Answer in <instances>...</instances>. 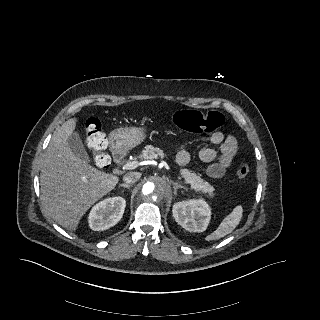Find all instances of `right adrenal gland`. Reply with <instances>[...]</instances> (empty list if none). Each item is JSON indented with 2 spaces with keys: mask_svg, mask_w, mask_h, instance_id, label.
Listing matches in <instances>:
<instances>
[{
  "mask_svg": "<svg viewBox=\"0 0 320 320\" xmlns=\"http://www.w3.org/2000/svg\"><path fill=\"white\" fill-rule=\"evenodd\" d=\"M133 185L132 184H120V187L123 188H131Z\"/></svg>",
  "mask_w": 320,
  "mask_h": 320,
  "instance_id": "1",
  "label": "right adrenal gland"
}]
</instances>
